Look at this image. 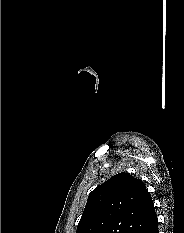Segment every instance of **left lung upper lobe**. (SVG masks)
Segmentation results:
<instances>
[{
  "instance_id": "1",
  "label": "left lung upper lobe",
  "mask_w": 184,
  "mask_h": 233,
  "mask_svg": "<svg viewBox=\"0 0 184 233\" xmlns=\"http://www.w3.org/2000/svg\"><path fill=\"white\" fill-rule=\"evenodd\" d=\"M152 205L141 180L118 173L89 194L76 233H140Z\"/></svg>"
}]
</instances>
